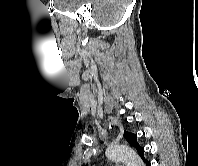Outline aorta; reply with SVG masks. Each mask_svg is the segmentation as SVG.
<instances>
[{
	"label": "aorta",
	"instance_id": "aorta-1",
	"mask_svg": "<svg viewBox=\"0 0 198 166\" xmlns=\"http://www.w3.org/2000/svg\"><path fill=\"white\" fill-rule=\"evenodd\" d=\"M106 156L110 160L123 161L126 166H145L139 155L128 146H109L106 150Z\"/></svg>",
	"mask_w": 198,
	"mask_h": 166
}]
</instances>
